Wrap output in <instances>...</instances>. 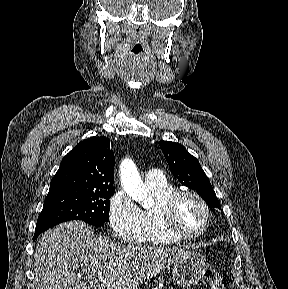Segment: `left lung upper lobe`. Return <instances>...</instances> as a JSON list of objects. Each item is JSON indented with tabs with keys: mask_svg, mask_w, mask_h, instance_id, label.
Instances as JSON below:
<instances>
[{
	"mask_svg": "<svg viewBox=\"0 0 288 289\" xmlns=\"http://www.w3.org/2000/svg\"><path fill=\"white\" fill-rule=\"evenodd\" d=\"M159 145L171 171L185 186L196 190L209 207L221 209L211 183L199 161L178 143L160 141Z\"/></svg>",
	"mask_w": 288,
	"mask_h": 289,
	"instance_id": "obj_1",
	"label": "left lung upper lobe"
}]
</instances>
